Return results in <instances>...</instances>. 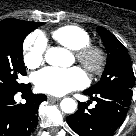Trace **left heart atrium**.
Instances as JSON below:
<instances>
[{"instance_id": "left-heart-atrium-1", "label": "left heart atrium", "mask_w": 136, "mask_h": 136, "mask_svg": "<svg viewBox=\"0 0 136 136\" xmlns=\"http://www.w3.org/2000/svg\"><path fill=\"white\" fill-rule=\"evenodd\" d=\"M87 82L85 73L78 67L68 69L48 67L34 76L38 91L57 96L83 88Z\"/></svg>"}]
</instances>
